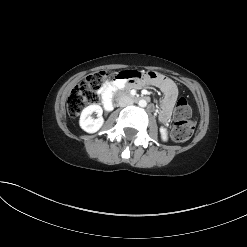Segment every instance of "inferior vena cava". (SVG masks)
<instances>
[{
	"label": "inferior vena cava",
	"instance_id": "1",
	"mask_svg": "<svg viewBox=\"0 0 247 247\" xmlns=\"http://www.w3.org/2000/svg\"><path fill=\"white\" fill-rule=\"evenodd\" d=\"M118 104L120 107H126L133 104V100L129 95L123 94L118 99Z\"/></svg>",
	"mask_w": 247,
	"mask_h": 247
}]
</instances>
